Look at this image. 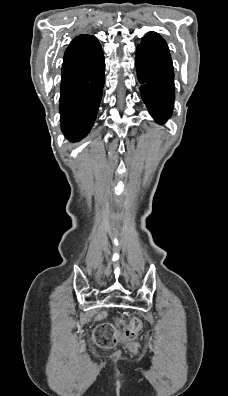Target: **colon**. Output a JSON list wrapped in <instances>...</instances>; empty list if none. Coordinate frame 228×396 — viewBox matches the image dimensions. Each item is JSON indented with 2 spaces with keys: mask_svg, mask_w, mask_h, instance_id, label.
Listing matches in <instances>:
<instances>
[{
  "mask_svg": "<svg viewBox=\"0 0 228 396\" xmlns=\"http://www.w3.org/2000/svg\"><path fill=\"white\" fill-rule=\"evenodd\" d=\"M142 329V321L138 317H132L123 328L124 340L131 342L135 340ZM119 339V332L115 325L103 323L99 325L94 333L95 343L102 348L113 347Z\"/></svg>",
  "mask_w": 228,
  "mask_h": 396,
  "instance_id": "5ec220e1",
  "label": "colon"
}]
</instances>
